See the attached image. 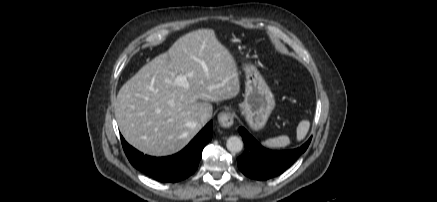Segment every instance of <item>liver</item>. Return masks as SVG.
<instances>
[{
  "instance_id": "6515ba94",
  "label": "liver",
  "mask_w": 437,
  "mask_h": 202,
  "mask_svg": "<svg viewBox=\"0 0 437 202\" xmlns=\"http://www.w3.org/2000/svg\"><path fill=\"white\" fill-rule=\"evenodd\" d=\"M187 77L188 87L175 84ZM240 91L237 64L213 30L180 37L170 49L144 65L119 90L116 120L125 140L152 156L183 149L201 130L211 102L234 98Z\"/></svg>"
}]
</instances>
